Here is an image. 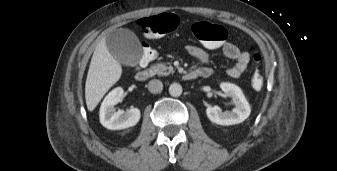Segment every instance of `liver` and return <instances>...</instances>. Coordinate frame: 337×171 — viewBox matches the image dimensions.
I'll use <instances>...</instances> for the list:
<instances>
[{
    "label": "liver",
    "mask_w": 337,
    "mask_h": 171,
    "mask_svg": "<svg viewBox=\"0 0 337 171\" xmlns=\"http://www.w3.org/2000/svg\"><path fill=\"white\" fill-rule=\"evenodd\" d=\"M121 75L120 63L109 52L106 40H101L93 53L85 84V99L89 111L95 109Z\"/></svg>",
    "instance_id": "obj_1"
}]
</instances>
